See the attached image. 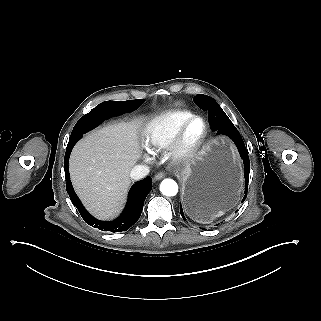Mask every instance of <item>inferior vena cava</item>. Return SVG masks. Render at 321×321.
<instances>
[{
	"mask_svg": "<svg viewBox=\"0 0 321 321\" xmlns=\"http://www.w3.org/2000/svg\"><path fill=\"white\" fill-rule=\"evenodd\" d=\"M150 169L147 165H136L132 168L130 172V177L134 180H139L148 175Z\"/></svg>",
	"mask_w": 321,
	"mask_h": 321,
	"instance_id": "inferior-vena-cava-1",
	"label": "inferior vena cava"
}]
</instances>
